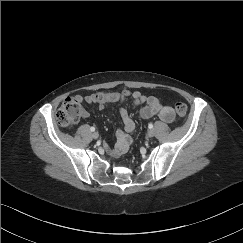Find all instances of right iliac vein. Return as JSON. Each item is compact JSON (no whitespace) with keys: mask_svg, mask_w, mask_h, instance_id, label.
Instances as JSON below:
<instances>
[{"mask_svg":"<svg viewBox=\"0 0 243 243\" xmlns=\"http://www.w3.org/2000/svg\"><path fill=\"white\" fill-rule=\"evenodd\" d=\"M98 136H99V134L97 132H93V134H92V138L93 139H97Z\"/></svg>","mask_w":243,"mask_h":243,"instance_id":"right-iliac-vein-1","label":"right iliac vein"}]
</instances>
